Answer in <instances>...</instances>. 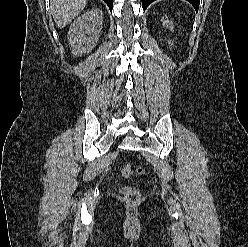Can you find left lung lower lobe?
Listing matches in <instances>:
<instances>
[{"mask_svg": "<svg viewBox=\"0 0 248 247\" xmlns=\"http://www.w3.org/2000/svg\"><path fill=\"white\" fill-rule=\"evenodd\" d=\"M155 0H142V7L144 10L147 9V7ZM190 2L196 10H198L199 2L200 0H187Z\"/></svg>", "mask_w": 248, "mask_h": 247, "instance_id": "left-lung-lower-lobe-1", "label": "left lung lower lobe"}]
</instances>
